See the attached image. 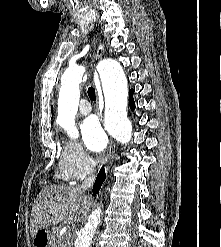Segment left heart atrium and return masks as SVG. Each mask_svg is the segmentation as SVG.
Listing matches in <instances>:
<instances>
[{
  "label": "left heart atrium",
  "instance_id": "1",
  "mask_svg": "<svg viewBox=\"0 0 221 247\" xmlns=\"http://www.w3.org/2000/svg\"><path fill=\"white\" fill-rule=\"evenodd\" d=\"M80 129L83 142L90 151L97 153L106 147L107 135L96 117L86 118Z\"/></svg>",
  "mask_w": 221,
  "mask_h": 247
}]
</instances>
